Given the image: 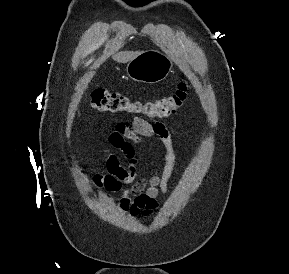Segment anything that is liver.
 <instances>
[{"mask_svg":"<svg viewBox=\"0 0 289 274\" xmlns=\"http://www.w3.org/2000/svg\"><path fill=\"white\" fill-rule=\"evenodd\" d=\"M139 51H121L118 52L113 56V59L119 63H126L134 59L137 55H139ZM90 79V76H88L85 80L88 81Z\"/></svg>","mask_w":289,"mask_h":274,"instance_id":"liver-1","label":"liver"}]
</instances>
